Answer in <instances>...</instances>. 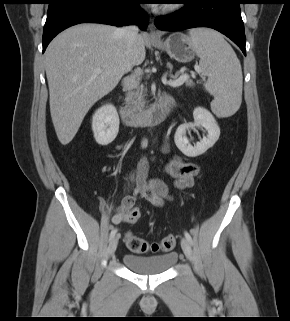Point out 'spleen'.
I'll return each mask as SVG.
<instances>
[{"label": "spleen", "instance_id": "1", "mask_svg": "<svg viewBox=\"0 0 290 321\" xmlns=\"http://www.w3.org/2000/svg\"><path fill=\"white\" fill-rule=\"evenodd\" d=\"M189 41L200 58L199 69L208 77L205 89L214 96L211 110L219 117L233 115L242 102V69L232 47L208 28L189 31Z\"/></svg>", "mask_w": 290, "mask_h": 321}]
</instances>
